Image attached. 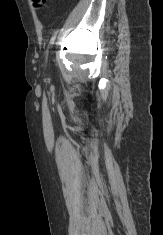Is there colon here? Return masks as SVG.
<instances>
[{
	"mask_svg": "<svg viewBox=\"0 0 163 235\" xmlns=\"http://www.w3.org/2000/svg\"><path fill=\"white\" fill-rule=\"evenodd\" d=\"M32 1L37 9H43L48 4V0H32Z\"/></svg>",
	"mask_w": 163,
	"mask_h": 235,
	"instance_id": "colon-1",
	"label": "colon"
}]
</instances>
